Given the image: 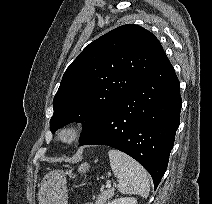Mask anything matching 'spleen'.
<instances>
[{
    "mask_svg": "<svg viewBox=\"0 0 212 204\" xmlns=\"http://www.w3.org/2000/svg\"><path fill=\"white\" fill-rule=\"evenodd\" d=\"M110 166L119 179L117 189L124 194H137L147 198L150 192L149 177L146 170L125 153L111 149L108 152Z\"/></svg>",
    "mask_w": 212,
    "mask_h": 204,
    "instance_id": "3e777b00",
    "label": "spleen"
}]
</instances>
